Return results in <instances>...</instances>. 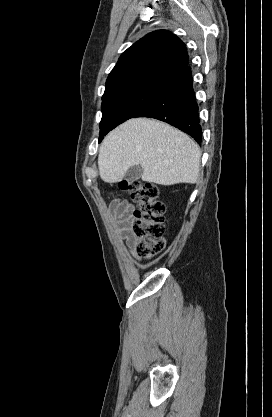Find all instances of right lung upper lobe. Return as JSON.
I'll return each mask as SVG.
<instances>
[{"mask_svg":"<svg viewBox=\"0 0 272 417\" xmlns=\"http://www.w3.org/2000/svg\"><path fill=\"white\" fill-rule=\"evenodd\" d=\"M188 64L185 44L167 30L147 34L119 58L110 72L104 95L136 87H162Z\"/></svg>","mask_w":272,"mask_h":417,"instance_id":"1","label":"right lung upper lobe"}]
</instances>
